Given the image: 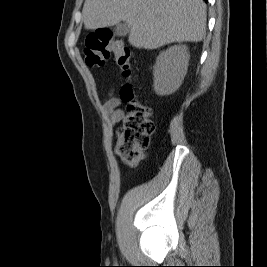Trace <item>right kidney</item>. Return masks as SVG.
Returning a JSON list of instances; mask_svg holds the SVG:
<instances>
[{
    "mask_svg": "<svg viewBox=\"0 0 267 267\" xmlns=\"http://www.w3.org/2000/svg\"><path fill=\"white\" fill-rule=\"evenodd\" d=\"M190 55L185 45H174L162 51L154 65V91L157 95L175 92L187 73Z\"/></svg>",
    "mask_w": 267,
    "mask_h": 267,
    "instance_id": "ca27d5eb",
    "label": "right kidney"
}]
</instances>
